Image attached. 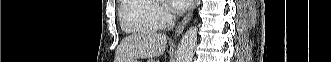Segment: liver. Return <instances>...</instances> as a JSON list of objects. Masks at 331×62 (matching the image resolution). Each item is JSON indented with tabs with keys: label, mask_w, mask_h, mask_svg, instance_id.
Listing matches in <instances>:
<instances>
[{
	"label": "liver",
	"mask_w": 331,
	"mask_h": 62,
	"mask_svg": "<svg viewBox=\"0 0 331 62\" xmlns=\"http://www.w3.org/2000/svg\"><path fill=\"white\" fill-rule=\"evenodd\" d=\"M167 36L145 31L125 37L116 50L114 62H134L136 59L153 58L164 53Z\"/></svg>",
	"instance_id": "1"
}]
</instances>
